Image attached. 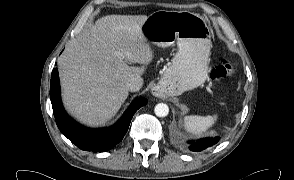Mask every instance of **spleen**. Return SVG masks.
<instances>
[{
	"mask_svg": "<svg viewBox=\"0 0 294 180\" xmlns=\"http://www.w3.org/2000/svg\"><path fill=\"white\" fill-rule=\"evenodd\" d=\"M217 120V115L198 116L190 115L184 118L185 130L193 135H201L207 131Z\"/></svg>",
	"mask_w": 294,
	"mask_h": 180,
	"instance_id": "spleen-1",
	"label": "spleen"
}]
</instances>
